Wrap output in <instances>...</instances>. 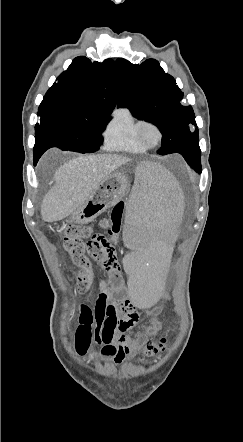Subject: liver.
I'll list each match as a JSON object with an SVG mask.
<instances>
[{
	"label": "liver",
	"instance_id": "liver-1",
	"mask_svg": "<svg viewBox=\"0 0 243 442\" xmlns=\"http://www.w3.org/2000/svg\"><path fill=\"white\" fill-rule=\"evenodd\" d=\"M130 159L116 154L80 155L55 172V185L45 195L41 215L45 222H56L83 205L100 183Z\"/></svg>",
	"mask_w": 243,
	"mask_h": 442
}]
</instances>
